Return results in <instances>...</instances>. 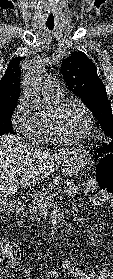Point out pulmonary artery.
I'll return each mask as SVG.
<instances>
[{
  "instance_id": "obj_1",
  "label": "pulmonary artery",
  "mask_w": 113,
  "mask_h": 279,
  "mask_svg": "<svg viewBox=\"0 0 113 279\" xmlns=\"http://www.w3.org/2000/svg\"><path fill=\"white\" fill-rule=\"evenodd\" d=\"M44 91L54 98H58L62 95V90L59 82L52 77H49L45 80L43 84Z\"/></svg>"
}]
</instances>
